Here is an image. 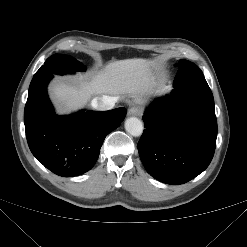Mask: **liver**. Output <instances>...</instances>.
<instances>
[{"label":"liver","instance_id":"obj_1","mask_svg":"<svg viewBox=\"0 0 247 247\" xmlns=\"http://www.w3.org/2000/svg\"><path fill=\"white\" fill-rule=\"evenodd\" d=\"M153 62L145 59H125L108 63L90 79L79 78L74 83L58 81L52 86L55 102L64 113L82 107L94 95L128 94L137 104L157 87L152 72Z\"/></svg>","mask_w":247,"mask_h":247}]
</instances>
